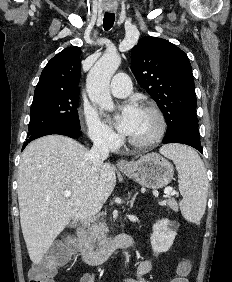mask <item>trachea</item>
I'll use <instances>...</instances> for the list:
<instances>
[{"instance_id": "trachea-1", "label": "trachea", "mask_w": 232, "mask_h": 282, "mask_svg": "<svg viewBox=\"0 0 232 282\" xmlns=\"http://www.w3.org/2000/svg\"><path fill=\"white\" fill-rule=\"evenodd\" d=\"M115 21V14L113 13H105L104 19H103V28L105 30H109Z\"/></svg>"}]
</instances>
